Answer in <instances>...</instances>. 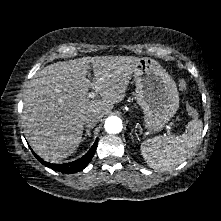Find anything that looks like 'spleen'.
<instances>
[{"mask_svg": "<svg viewBox=\"0 0 221 221\" xmlns=\"http://www.w3.org/2000/svg\"><path fill=\"white\" fill-rule=\"evenodd\" d=\"M203 123L191 120L181 136L154 137L144 141L141 153L149 167L167 171L184 162L201 139Z\"/></svg>", "mask_w": 221, "mask_h": 221, "instance_id": "3e777b00", "label": "spleen"}]
</instances>
